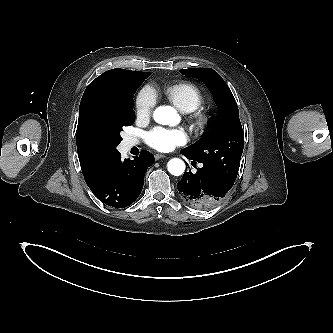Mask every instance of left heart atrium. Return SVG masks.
<instances>
[{
	"label": "left heart atrium",
	"mask_w": 333,
	"mask_h": 333,
	"mask_svg": "<svg viewBox=\"0 0 333 333\" xmlns=\"http://www.w3.org/2000/svg\"><path fill=\"white\" fill-rule=\"evenodd\" d=\"M148 144L159 151H171L185 144L186 135L179 129L154 128L146 134Z\"/></svg>",
	"instance_id": "1"
}]
</instances>
